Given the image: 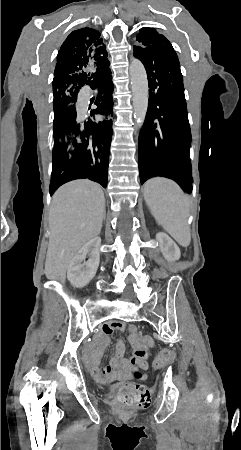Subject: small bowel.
Masks as SVG:
<instances>
[{
	"mask_svg": "<svg viewBox=\"0 0 241 450\" xmlns=\"http://www.w3.org/2000/svg\"><path fill=\"white\" fill-rule=\"evenodd\" d=\"M129 333L128 341L131 346L130 355L126 354L125 344L118 340L115 351L110 359L109 365L99 368V359L109 343V337L114 331H125ZM154 346L151 336L143 335L135 324L122 321H112L102 326L101 334L90 345L95 349L89 359L88 367L95 379L100 383H124L134 379L135 373L145 371L148 368V349ZM145 380L146 375L138 377Z\"/></svg>",
	"mask_w": 241,
	"mask_h": 450,
	"instance_id": "1",
	"label": "small bowel"
}]
</instances>
